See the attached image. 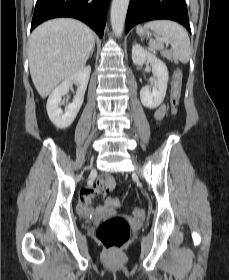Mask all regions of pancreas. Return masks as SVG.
Returning <instances> with one entry per match:
<instances>
[{"label": "pancreas", "instance_id": "obj_1", "mask_svg": "<svg viewBox=\"0 0 229 280\" xmlns=\"http://www.w3.org/2000/svg\"><path fill=\"white\" fill-rule=\"evenodd\" d=\"M163 56L170 61H174V58L172 57L171 53H169V52H164Z\"/></svg>", "mask_w": 229, "mask_h": 280}]
</instances>
